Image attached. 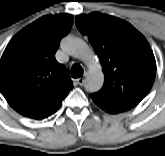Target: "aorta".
<instances>
[{"instance_id":"obj_1","label":"aorta","mask_w":165,"mask_h":156,"mask_svg":"<svg viewBox=\"0 0 165 156\" xmlns=\"http://www.w3.org/2000/svg\"><path fill=\"white\" fill-rule=\"evenodd\" d=\"M62 49L75 58H78L89 65V71L85 79V89L88 92H96L101 89L104 83V74L100 65L96 62V56L88 44L80 38L69 36L62 41Z\"/></svg>"}]
</instances>
